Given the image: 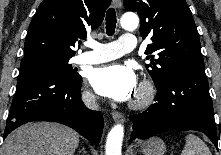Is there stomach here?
<instances>
[{"mask_svg":"<svg viewBox=\"0 0 221 155\" xmlns=\"http://www.w3.org/2000/svg\"><path fill=\"white\" fill-rule=\"evenodd\" d=\"M143 155H164L165 143L160 138H150L141 147Z\"/></svg>","mask_w":221,"mask_h":155,"instance_id":"obj_1","label":"stomach"}]
</instances>
